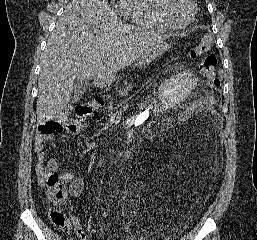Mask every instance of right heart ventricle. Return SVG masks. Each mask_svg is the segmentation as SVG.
<instances>
[{"label": "right heart ventricle", "instance_id": "right-heart-ventricle-1", "mask_svg": "<svg viewBox=\"0 0 257 240\" xmlns=\"http://www.w3.org/2000/svg\"><path fill=\"white\" fill-rule=\"evenodd\" d=\"M119 10L122 16L143 28L157 31L170 29L157 15L154 0H120Z\"/></svg>", "mask_w": 257, "mask_h": 240}]
</instances>
